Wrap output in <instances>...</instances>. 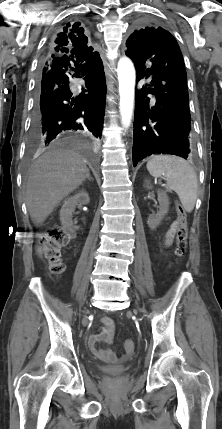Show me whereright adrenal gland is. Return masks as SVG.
<instances>
[{
  "instance_id": "obj_1",
  "label": "right adrenal gland",
  "mask_w": 222,
  "mask_h": 429,
  "mask_svg": "<svg viewBox=\"0 0 222 429\" xmlns=\"http://www.w3.org/2000/svg\"><path fill=\"white\" fill-rule=\"evenodd\" d=\"M87 180H89V181H93V178L90 176V173H88V175H87Z\"/></svg>"
}]
</instances>
